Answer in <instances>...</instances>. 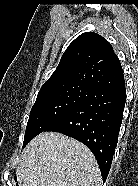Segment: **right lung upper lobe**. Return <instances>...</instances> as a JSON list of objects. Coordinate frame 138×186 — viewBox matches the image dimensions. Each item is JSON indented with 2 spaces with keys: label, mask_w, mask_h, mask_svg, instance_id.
Segmentation results:
<instances>
[{
  "label": "right lung upper lobe",
  "mask_w": 138,
  "mask_h": 186,
  "mask_svg": "<svg viewBox=\"0 0 138 186\" xmlns=\"http://www.w3.org/2000/svg\"><path fill=\"white\" fill-rule=\"evenodd\" d=\"M124 84L122 67L111 44L96 33L86 32L68 46L39 92L71 85L98 89Z\"/></svg>",
  "instance_id": "1"
}]
</instances>
